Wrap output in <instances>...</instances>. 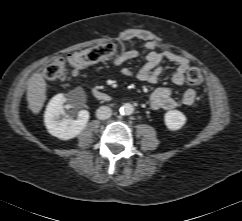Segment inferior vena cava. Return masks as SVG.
I'll return each mask as SVG.
<instances>
[{
	"instance_id": "602c4592",
	"label": "inferior vena cava",
	"mask_w": 242,
	"mask_h": 221,
	"mask_svg": "<svg viewBox=\"0 0 242 221\" xmlns=\"http://www.w3.org/2000/svg\"><path fill=\"white\" fill-rule=\"evenodd\" d=\"M112 115V110L108 106H101L96 111V117L100 120H106Z\"/></svg>"
}]
</instances>
